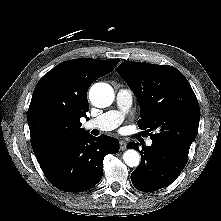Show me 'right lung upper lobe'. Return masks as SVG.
<instances>
[{"mask_svg": "<svg viewBox=\"0 0 221 221\" xmlns=\"http://www.w3.org/2000/svg\"><path fill=\"white\" fill-rule=\"evenodd\" d=\"M119 59H73L55 66L37 83L28 109L31 145L38 161L88 131L80 118L89 110L87 91L111 72Z\"/></svg>", "mask_w": 221, "mask_h": 221, "instance_id": "cb5924a9", "label": "right lung upper lobe"}]
</instances>
